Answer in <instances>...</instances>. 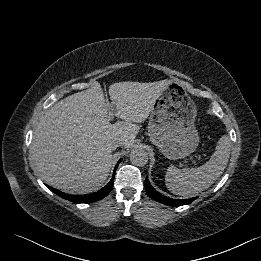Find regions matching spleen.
Returning <instances> with one entry per match:
<instances>
[{"label": "spleen", "instance_id": "1", "mask_svg": "<svg viewBox=\"0 0 261 261\" xmlns=\"http://www.w3.org/2000/svg\"><path fill=\"white\" fill-rule=\"evenodd\" d=\"M230 147L229 137L223 135L210 160L204 165L191 169L169 166L165 175L167 189L173 194L189 197L209 188L226 168Z\"/></svg>", "mask_w": 261, "mask_h": 261}]
</instances>
